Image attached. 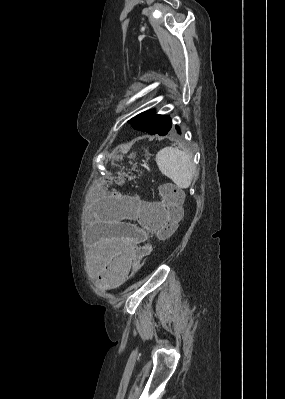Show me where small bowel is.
Returning <instances> with one entry per match:
<instances>
[{"mask_svg": "<svg viewBox=\"0 0 285 399\" xmlns=\"http://www.w3.org/2000/svg\"><path fill=\"white\" fill-rule=\"evenodd\" d=\"M161 203L148 204L133 197L130 205L122 207L119 221L123 227L118 236L110 238L116 241V246L108 250L109 261L99 271V276L110 286L117 287L123 283L132 270L135 248L146 242L150 235L155 234L166 223L167 215L161 208ZM94 263L98 266L99 260L96 259Z\"/></svg>", "mask_w": 285, "mask_h": 399, "instance_id": "1", "label": "small bowel"}]
</instances>
